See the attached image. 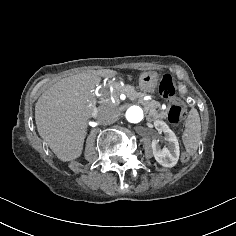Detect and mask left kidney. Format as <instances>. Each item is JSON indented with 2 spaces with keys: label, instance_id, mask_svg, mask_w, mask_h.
<instances>
[{
  "label": "left kidney",
  "instance_id": "1",
  "mask_svg": "<svg viewBox=\"0 0 236 236\" xmlns=\"http://www.w3.org/2000/svg\"><path fill=\"white\" fill-rule=\"evenodd\" d=\"M154 127L159 133H164V140L166 141V147L161 148L158 140H152V150L156 161L164 167L175 166L180 155L179 143L175 133L161 120L154 121Z\"/></svg>",
  "mask_w": 236,
  "mask_h": 236
}]
</instances>
